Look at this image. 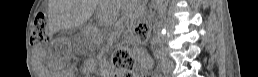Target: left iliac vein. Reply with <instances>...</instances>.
I'll list each match as a JSON object with an SVG mask.
<instances>
[{
	"label": "left iliac vein",
	"instance_id": "left-iliac-vein-1",
	"mask_svg": "<svg viewBox=\"0 0 258 77\" xmlns=\"http://www.w3.org/2000/svg\"><path fill=\"white\" fill-rule=\"evenodd\" d=\"M160 69L164 74H170L174 70V62L170 58L163 57L160 61Z\"/></svg>",
	"mask_w": 258,
	"mask_h": 77
}]
</instances>
